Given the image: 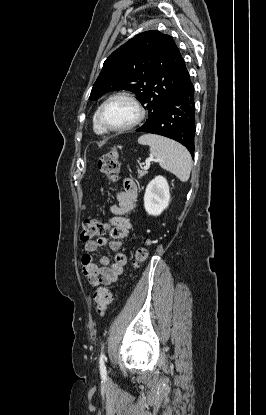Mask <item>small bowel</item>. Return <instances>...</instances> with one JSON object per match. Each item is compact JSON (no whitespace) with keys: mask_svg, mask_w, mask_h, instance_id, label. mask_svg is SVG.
Wrapping results in <instances>:
<instances>
[{"mask_svg":"<svg viewBox=\"0 0 266 415\" xmlns=\"http://www.w3.org/2000/svg\"><path fill=\"white\" fill-rule=\"evenodd\" d=\"M124 190L117 195V205L111 207L113 217L111 218L112 229L110 232L111 240L101 237L95 240H88L84 243L85 253L81 258L82 272L88 283L92 286L110 285L115 283L123 274L127 263V255L118 252L121 248V240L128 237L133 223L124 215L134 212L137 207L138 190L134 181L125 179ZM108 246L112 251H116L113 263L107 256H101L99 264L95 263L91 253L97 249Z\"/></svg>","mask_w":266,"mask_h":415,"instance_id":"small-bowel-1","label":"small bowel"}]
</instances>
